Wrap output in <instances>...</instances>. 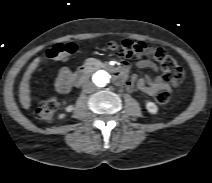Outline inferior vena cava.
<instances>
[{
  "label": "inferior vena cava",
  "instance_id": "602c4592",
  "mask_svg": "<svg viewBox=\"0 0 212 183\" xmlns=\"http://www.w3.org/2000/svg\"><path fill=\"white\" fill-rule=\"evenodd\" d=\"M96 90L95 86L91 82H87L83 85V91L85 93H92Z\"/></svg>",
  "mask_w": 212,
  "mask_h": 183
}]
</instances>
